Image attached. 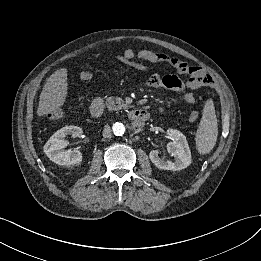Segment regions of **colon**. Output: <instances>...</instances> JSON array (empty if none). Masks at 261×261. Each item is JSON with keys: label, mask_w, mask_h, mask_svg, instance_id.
Returning <instances> with one entry per match:
<instances>
[{"label": "colon", "mask_w": 261, "mask_h": 261, "mask_svg": "<svg viewBox=\"0 0 261 261\" xmlns=\"http://www.w3.org/2000/svg\"><path fill=\"white\" fill-rule=\"evenodd\" d=\"M179 74L189 77L188 82L194 88H206L213 84V79L207 73V71L200 66L189 65L185 61L178 60L174 66ZM47 116L51 119L60 120L64 116V112L61 109L52 108L47 111ZM198 113L191 114V119H196Z\"/></svg>", "instance_id": "obj_1"}]
</instances>
